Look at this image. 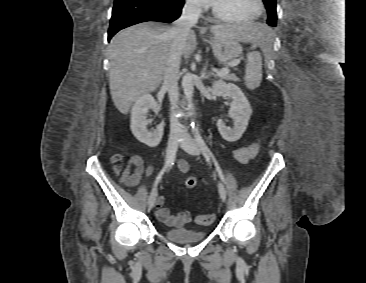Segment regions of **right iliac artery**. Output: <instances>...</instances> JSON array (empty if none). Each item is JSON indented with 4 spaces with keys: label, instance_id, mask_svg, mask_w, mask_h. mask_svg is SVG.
Returning a JSON list of instances; mask_svg holds the SVG:
<instances>
[{
    "label": "right iliac artery",
    "instance_id": "right-iliac-artery-1",
    "mask_svg": "<svg viewBox=\"0 0 366 283\" xmlns=\"http://www.w3.org/2000/svg\"><path fill=\"white\" fill-rule=\"evenodd\" d=\"M174 158L175 156L172 155L168 161L166 162L165 166L163 167V169L160 171V173L158 174L155 183H154V187L158 184L159 180L161 179L162 175L164 174V172L168 169L169 166H171L174 162Z\"/></svg>",
    "mask_w": 366,
    "mask_h": 283
}]
</instances>
